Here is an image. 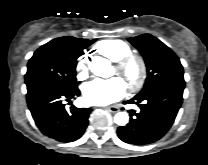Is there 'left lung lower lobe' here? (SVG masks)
Masks as SVG:
<instances>
[{
	"label": "left lung lower lobe",
	"instance_id": "1",
	"mask_svg": "<svg viewBox=\"0 0 208 165\" xmlns=\"http://www.w3.org/2000/svg\"><path fill=\"white\" fill-rule=\"evenodd\" d=\"M184 87V81L163 82L125 102L139 104L140 112L129 110L130 122L118 128L119 138L135 145L150 144L159 140L176 118L183 100Z\"/></svg>",
	"mask_w": 208,
	"mask_h": 165
}]
</instances>
